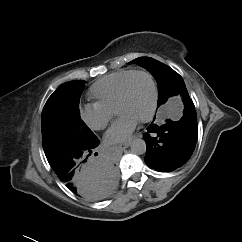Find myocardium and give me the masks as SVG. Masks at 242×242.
I'll return each instance as SVG.
<instances>
[{
    "label": "myocardium",
    "instance_id": "myocardium-1",
    "mask_svg": "<svg viewBox=\"0 0 242 242\" xmlns=\"http://www.w3.org/2000/svg\"><path fill=\"white\" fill-rule=\"evenodd\" d=\"M136 75H145L149 79L150 84H151V89H152L151 106H150L148 113L139 120L142 123H146V122H149L150 120H152V118L154 117L156 108H157V103H158L157 83H156V80H155L154 76L152 75V73H150L147 70H135L130 75L127 76V78L124 80V82L120 88L115 111H116V113H118L119 107L125 101V98H126V95L128 92L129 83H130L131 79Z\"/></svg>",
    "mask_w": 242,
    "mask_h": 242
}]
</instances>
